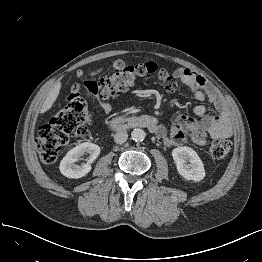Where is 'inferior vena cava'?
Here are the masks:
<instances>
[{
	"label": "inferior vena cava",
	"instance_id": "1",
	"mask_svg": "<svg viewBox=\"0 0 262 262\" xmlns=\"http://www.w3.org/2000/svg\"><path fill=\"white\" fill-rule=\"evenodd\" d=\"M128 139V134L125 131H119L114 135V141L117 144H122L124 142H126Z\"/></svg>",
	"mask_w": 262,
	"mask_h": 262
}]
</instances>
